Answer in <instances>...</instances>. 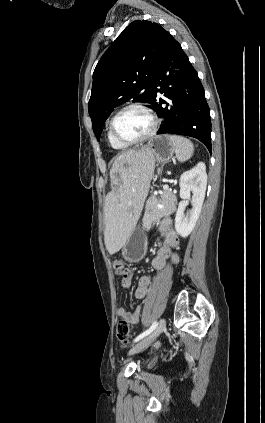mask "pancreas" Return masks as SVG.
<instances>
[{
  "label": "pancreas",
  "instance_id": "pancreas-1",
  "mask_svg": "<svg viewBox=\"0 0 265 423\" xmlns=\"http://www.w3.org/2000/svg\"><path fill=\"white\" fill-rule=\"evenodd\" d=\"M161 205V207H159ZM176 196L171 190H164L160 196H150L145 206V213L142 219L144 229L150 228L161 218L175 212Z\"/></svg>",
  "mask_w": 265,
  "mask_h": 423
}]
</instances>
